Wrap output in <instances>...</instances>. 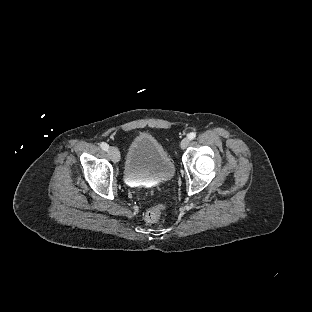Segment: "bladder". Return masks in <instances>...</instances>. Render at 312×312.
<instances>
[{
  "mask_svg": "<svg viewBox=\"0 0 312 312\" xmlns=\"http://www.w3.org/2000/svg\"><path fill=\"white\" fill-rule=\"evenodd\" d=\"M174 168L173 159L153 135L141 133L130 141L124 164L127 177L167 180Z\"/></svg>",
  "mask_w": 312,
  "mask_h": 312,
  "instance_id": "obj_1",
  "label": "bladder"
}]
</instances>
